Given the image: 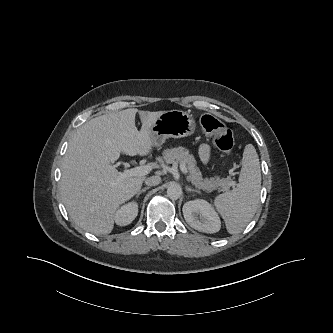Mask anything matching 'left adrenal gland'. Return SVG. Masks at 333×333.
<instances>
[{"mask_svg":"<svg viewBox=\"0 0 333 333\" xmlns=\"http://www.w3.org/2000/svg\"><path fill=\"white\" fill-rule=\"evenodd\" d=\"M185 188H186V191H188V192H196V193H200V191H198V190H196V189H192V188H190L189 186H186Z\"/></svg>","mask_w":333,"mask_h":333,"instance_id":"a2214340","label":"left adrenal gland"}]
</instances>
